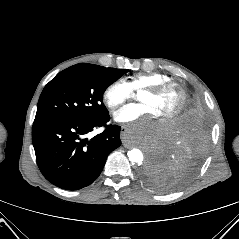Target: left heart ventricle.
<instances>
[{"instance_id":"b2bd125f","label":"left heart ventricle","mask_w":239,"mask_h":239,"mask_svg":"<svg viewBox=\"0 0 239 239\" xmlns=\"http://www.w3.org/2000/svg\"><path fill=\"white\" fill-rule=\"evenodd\" d=\"M139 100L141 103L148 105L157 118H163L177 106L179 96L175 90H168L161 95L150 93H140Z\"/></svg>"}]
</instances>
